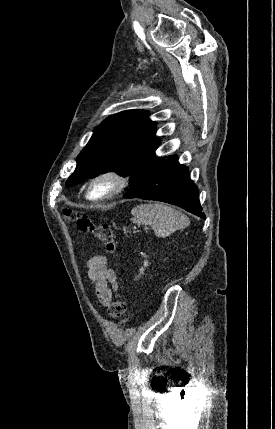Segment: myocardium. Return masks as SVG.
Listing matches in <instances>:
<instances>
[{"instance_id":"1","label":"myocardium","mask_w":275,"mask_h":429,"mask_svg":"<svg viewBox=\"0 0 275 429\" xmlns=\"http://www.w3.org/2000/svg\"><path fill=\"white\" fill-rule=\"evenodd\" d=\"M100 181H108L110 183L109 190L100 197H93L91 195L92 187ZM129 179L127 175L117 169H108L101 171L97 174H95L88 182L87 188H86V198L92 202L101 203L106 202L114 197L118 196L122 192L125 191V189L128 186Z\"/></svg>"}]
</instances>
